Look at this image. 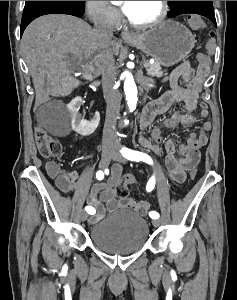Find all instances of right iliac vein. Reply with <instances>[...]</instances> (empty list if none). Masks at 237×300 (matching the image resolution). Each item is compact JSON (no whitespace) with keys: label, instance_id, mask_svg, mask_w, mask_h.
<instances>
[{"label":"right iliac vein","instance_id":"right-iliac-vein-1","mask_svg":"<svg viewBox=\"0 0 237 300\" xmlns=\"http://www.w3.org/2000/svg\"><path fill=\"white\" fill-rule=\"evenodd\" d=\"M114 150L111 147H104L102 150V155H101V162L100 165L104 169L108 167L110 161H111V156L113 154ZM88 218V214L85 211L81 212V220L85 221Z\"/></svg>","mask_w":237,"mask_h":300}]
</instances>
